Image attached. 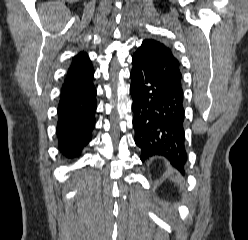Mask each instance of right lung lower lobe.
I'll list each match as a JSON object with an SVG mask.
<instances>
[{"label": "right lung lower lobe", "instance_id": "obj_1", "mask_svg": "<svg viewBox=\"0 0 248 240\" xmlns=\"http://www.w3.org/2000/svg\"><path fill=\"white\" fill-rule=\"evenodd\" d=\"M94 70L64 81L57 109L58 148L67 158L79 156L90 142L95 126L96 88Z\"/></svg>", "mask_w": 248, "mask_h": 240}]
</instances>
